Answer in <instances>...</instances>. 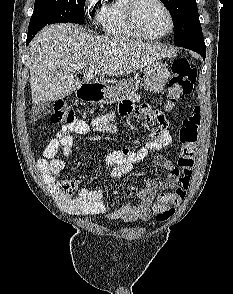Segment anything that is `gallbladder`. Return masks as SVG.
I'll list each match as a JSON object with an SVG mask.
<instances>
[{"label": "gallbladder", "mask_w": 233, "mask_h": 294, "mask_svg": "<svg viewBox=\"0 0 233 294\" xmlns=\"http://www.w3.org/2000/svg\"><path fill=\"white\" fill-rule=\"evenodd\" d=\"M49 107V102H43L39 103L35 107H33V114L38 115L42 112L46 111V109Z\"/></svg>", "instance_id": "1"}]
</instances>
